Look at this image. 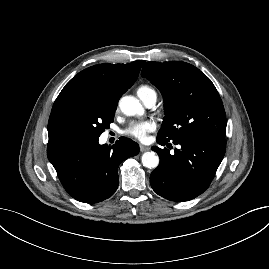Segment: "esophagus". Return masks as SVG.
Returning <instances> with one entry per match:
<instances>
[{
  "label": "esophagus",
  "instance_id": "esophagus-1",
  "mask_svg": "<svg viewBox=\"0 0 269 269\" xmlns=\"http://www.w3.org/2000/svg\"><path fill=\"white\" fill-rule=\"evenodd\" d=\"M141 152L148 151L150 148L148 146L140 145L139 146Z\"/></svg>",
  "mask_w": 269,
  "mask_h": 269
}]
</instances>
